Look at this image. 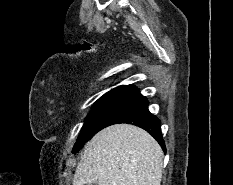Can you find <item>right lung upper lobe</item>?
I'll list each match as a JSON object with an SVG mask.
<instances>
[{"label":"right lung upper lobe","mask_w":233,"mask_h":185,"mask_svg":"<svg viewBox=\"0 0 233 185\" xmlns=\"http://www.w3.org/2000/svg\"><path fill=\"white\" fill-rule=\"evenodd\" d=\"M113 90H127V91H132V90H134V87H132V86H119V87H117V88H115V89H113Z\"/></svg>","instance_id":"cb5924a9"}]
</instances>
